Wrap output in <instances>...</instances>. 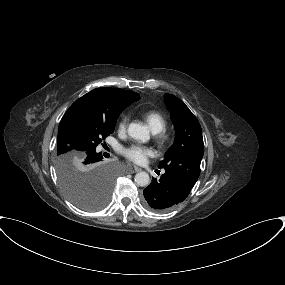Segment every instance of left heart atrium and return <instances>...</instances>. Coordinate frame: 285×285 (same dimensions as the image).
<instances>
[{"mask_svg":"<svg viewBox=\"0 0 285 285\" xmlns=\"http://www.w3.org/2000/svg\"><path fill=\"white\" fill-rule=\"evenodd\" d=\"M125 157L135 164H143L146 162L147 158L152 156L153 151L143 145L134 144L126 147L123 150Z\"/></svg>","mask_w":285,"mask_h":285,"instance_id":"1","label":"left heart atrium"}]
</instances>
